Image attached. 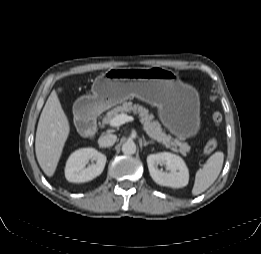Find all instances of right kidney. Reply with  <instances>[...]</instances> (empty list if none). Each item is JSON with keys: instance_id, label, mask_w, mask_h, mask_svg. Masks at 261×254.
<instances>
[{"instance_id": "obj_1", "label": "right kidney", "mask_w": 261, "mask_h": 254, "mask_svg": "<svg viewBox=\"0 0 261 254\" xmlns=\"http://www.w3.org/2000/svg\"><path fill=\"white\" fill-rule=\"evenodd\" d=\"M90 159L95 160L96 164H91L85 168ZM106 160V156L94 148L79 149L68 158L65 177L69 182L75 183L93 180L103 172Z\"/></svg>"}]
</instances>
